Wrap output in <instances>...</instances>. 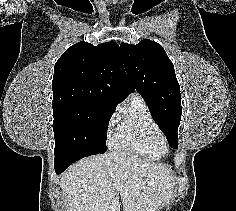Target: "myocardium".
<instances>
[{"instance_id": "obj_1", "label": "myocardium", "mask_w": 236, "mask_h": 211, "mask_svg": "<svg viewBox=\"0 0 236 211\" xmlns=\"http://www.w3.org/2000/svg\"><path fill=\"white\" fill-rule=\"evenodd\" d=\"M152 147L161 155H165L169 151V144L162 134H159L152 140Z\"/></svg>"}]
</instances>
